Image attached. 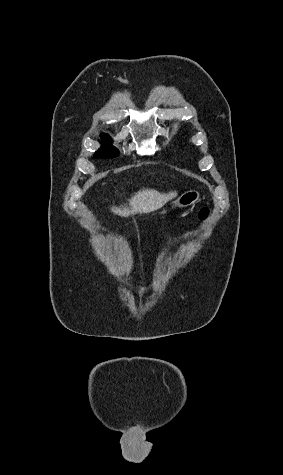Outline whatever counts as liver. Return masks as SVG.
<instances>
[{
	"label": "liver",
	"instance_id": "1",
	"mask_svg": "<svg viewBox=\"0 0 283 475\" xmlns=\"http://www.w3.org/2000/svg\"><path fill=\"white\" fill-rule=\"evenodd\" d=\"M177 192H169V194H160L156 190H139L131 200H128L130 208L119 206V208H111L113 214L117 216H135V214H149L154 210H159L164 204L176 198Z\"/></svg>",
	"mask_w": 283,
	"mask_h": 475
}]
</instances>
